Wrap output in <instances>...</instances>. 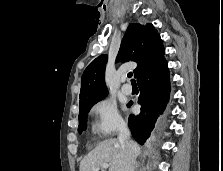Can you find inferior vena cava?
<instances>
[{"mask_svg": "<svg viewBox=\"0 0 223 171\" xmlns=\"http://www.w3.org/2000/svg\"><path fill=\"white\" fill-rule=\"evenodd\" d=\"M118 141L124 149V171H134L136 162L135 146L130 141V130L126 124L119 127Z\"/></svg>", "mask_w": 223, "mask_h": 171, "instance_id": "1", "label": "inferior vena cava"}]
</instances>
